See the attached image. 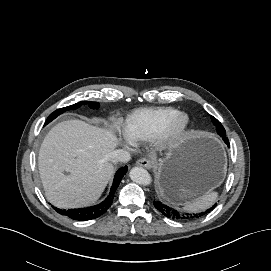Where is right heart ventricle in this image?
<instances>
[{
  "label": "right heart ventricle",
  "mask_w": 271,
  "mask_h": 271,
  "mask_svg": "<svg viewBox=\"0 0 271 271\" xmlns=\"http://www.w3.org/2000/svg\"><path fill=\"white\" fill-rule=\"evenodd\" d=\"M177 112L173 108L136 110L124 120V134L130 142H140L153 138L164 129Z\"/></svg>",
  "instance_id": "right-heart-ventricle-1"
}]
</instances>
